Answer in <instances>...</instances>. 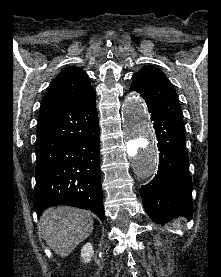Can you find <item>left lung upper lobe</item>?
Instances as JSON below:
<instances>
[{"label":"left lung upper lobe","mask_w":221,"mask_h":277,"mask_svg":"<svg viewBox=\"0 0 221 277\" xmlns=\"http://www.w3.org/2000/svg\"><path fill=\"white\" fill-rule=\"evenodd\" d=\"M130 90L156 105L176 125L185 129L178 96L171 82L157 68L147 66L132 77Z\"/></svg>","instance_id":"1"}]
</instances>
